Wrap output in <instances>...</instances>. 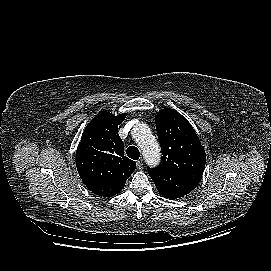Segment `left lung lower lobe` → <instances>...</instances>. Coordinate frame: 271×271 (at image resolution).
Returning <instances> with one entry per match:
<instances>
[{"instance_id":"0a47b994","label":"left lung lower lobe","mask_w":271,"mask_h":271,"mask_svg":"<svg viewBox=\"0 0 271 271\" xmlns=\"http://www.w3.org/2000/svg\"><path fill=\"white\" fill-rule=\"evenodd\" d=\"M173 182V187H171L172 190L163 195V197L169 199H177L188 194L196 187L195 184L185 181L181 178H176Z\"/></svg>"}]
</instances>
